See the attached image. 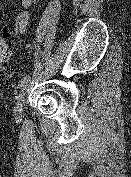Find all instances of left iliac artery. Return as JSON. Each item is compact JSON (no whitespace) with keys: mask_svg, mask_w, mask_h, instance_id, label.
Masks as SVG:
<instances>
[{"mask_svg":"<svg viewBox=\"0 0 131 177\" xmlns=\"http://www.w3.org/2000/svg\"><path fill=\"white\" fill-rule=\"evenodd\" d=\"M30 78V75L24 76L19 82V87H23L24 85H26L30 81Z\"/></svg>","mask_w":131,"mask_h":177,"instance_id":"1","label":"left iliac artery"}]
</instances>
